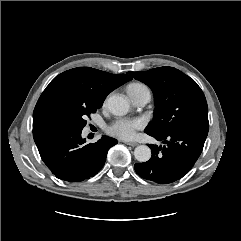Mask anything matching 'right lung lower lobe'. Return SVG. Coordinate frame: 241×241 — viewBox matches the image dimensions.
I'll list each match as a JSON object with an SVG mask.
<instances>
[{"mask_svg":"<svg viewBox=\"0 0 241 241\" xmlns=\"http://www.w3.org/2000/svg\"><path fill=\"white\" fill-rule=\"evenodd\" d=\"M81 132L74 127L33 132L43 162L58 179L78 182L93 177L104 166L108 150L117 144L108 136L85 144Z\"/></svg>","mask_w":241,"mask_h":241,"instance_id":"obj_1","label":"right lung lower lobe"}]
</instances>
